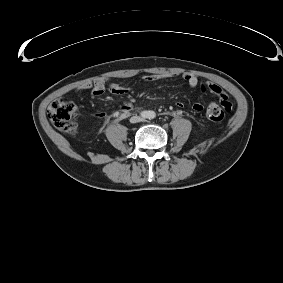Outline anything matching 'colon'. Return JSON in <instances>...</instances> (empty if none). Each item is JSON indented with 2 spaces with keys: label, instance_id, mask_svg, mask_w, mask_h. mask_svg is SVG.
Segmentation results:
<instances>
[{
  "label": "colon",
  "instance_id": "1",
  "mask_svg": "<svg viewBox=\"0 0 283 283\" xmlns=\"http://www.w3.org/2000/svg\"><path fill=\"white\" fill-rule=\"evenodd\" d=\"M231 109V102L227 96L223 101L212 103L206 109V117L212 121H220L224 118L225 111ZM74 104L65 98L54 100L48 108V118L51 123L60 131L74 134L77 132V126L73 121Z\"/></svg>",
  "mask_w": 283,
  "mask_h": 283
}]
</instances>
